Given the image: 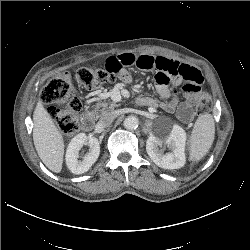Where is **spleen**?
Returning a JSON list of instances; mask_svg holds the SVG:
<instances>
[{"label":"spleen","instance_id":"spleen-1","mask_svg":"<svg viewBox=\"0 0 250 250\" xmlns=\"http://www.w3.org/2000/svg\"><path fill=\"white\" fill-rule=\"evenodd\" d=\"M215 137V124L211 114L200 115L190 137L189 159L201 160L210 150Z\"/></svg>","mask_w":250,"mask_h":250}]
</instances>
